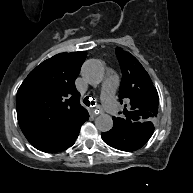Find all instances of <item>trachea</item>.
Masks as SVG:
<instances>
[{
  "label": "trachea",
  "mask_w": 193,
  "mask_h": 193,
  "mask_svg": "<svg viewBox=\"0 0 193 193\" xmlns=\"http://www.w3.org/2000/svg\"><path fill=\"white\" fill-rule=\"evenodd\" d=\"M89 97L90 96H86L85 98H84V100H83V102L85 103V105H87V106H90V105H95V102H94V99L93 100H91V99H89ZM91 100V101H90Z\"/></svg>",
  "instance_id": "1"
}]
</instances>
